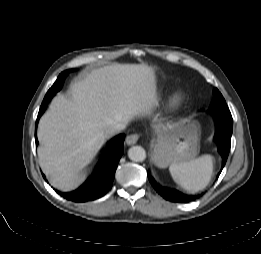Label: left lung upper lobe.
<instances>
[{
  "label": "left lung upper lobe",
  "mask_w": 261,
  "mask_h": 254,
  "mask_svg": "<svg viewBox=\"0 0 261 254\" xmlns=\"http://www.w3.org/2000/svg\"><path fill=\"white\" fill-rule=\"evenodd\" d=\"M209 111L215 116L226 118L232 117L229 108L225 102V99L216 88L214 89V97L209 107Z\"/></svg>",
  "instance_id": "1"
}]
</instances>
